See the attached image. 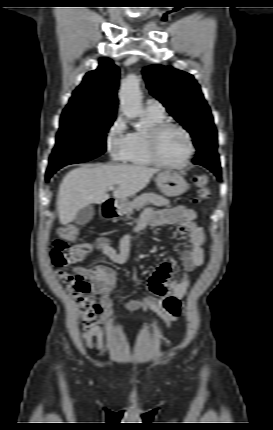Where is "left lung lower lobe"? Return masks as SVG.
Here are the masks:
<instances>
[{
	"label": "left lung lower lobe",
	"mask_w": 273,
	"mask_h": 430,
	"mask_svg": "<svg viewBox=\"0 0 273 430\" xmlns=\"http://www.w3.org/2000/svg\"><path fill=\"white\" fill-rule=\"evenodd\" d=\"M194 164L202 165L211 170L218 179H221V167L219 163V155L216 151L214 152H203L193 160Z\"/></svg>",
	"instance_id": "1"
}]
</instances>
